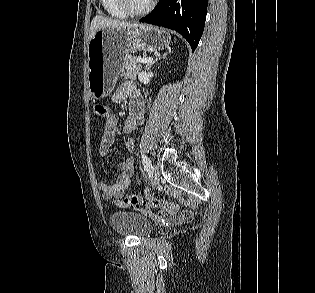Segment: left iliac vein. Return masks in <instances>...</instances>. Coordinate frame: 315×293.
I'll return each instance as SVG.
<instances>
[{"label":"left iliac vein","mask_w":315,"mask_h":293,"mask_svg":"<svg viewBox=\"0 0 315 293\" xmlns=\"http://www.w3.org/2000/svg\"><path fill=\"white\" fill-rule=\"evenodd\" d=\"M159 182V168L156 165L151 167V184L154 186Z\"/></svg>","instance_id":"4c4485c4"}]
</instances>
